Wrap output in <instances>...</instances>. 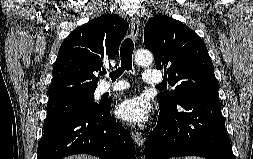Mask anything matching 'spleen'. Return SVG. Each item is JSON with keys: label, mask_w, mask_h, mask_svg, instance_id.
<instances>
[{"label": "spleen", "mask_w": 253, "mask_h": 159, "mask_svg": "<svg viewBox=\"0 0 253 159\" xmlns=\"http://www.w3.org/2000/svg\"><path fill=\"white\" fill-rule=\"evenodd\" d=\"M185 159H203V158L198 156H187Z\"/></svg>", "instance_id": "obj_1"}]
</instances>
